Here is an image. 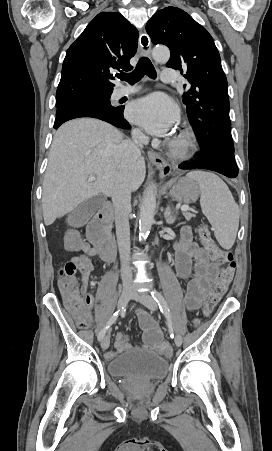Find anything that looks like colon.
Masks as SVG:
<instances>
[{"label": "colon", "mask_w": 272, "mask_h": 451, "mask_svg": "<svg viewBox=\"0 0 272 451\" xmlns=\"http://www.w3.org/2000/svg\"><path fill=\"white\" fill-rule=\"evenodd\" d=\"M199 238L203 240L204 245L209 250L210 258H217L225 261V267L218 273L217 278L206 296L205 312L210 313L223 295L226 293L234 277L236 261L234 254L227 249H218L216 243L210 237V231L202 228L199 231ZM80 237L77 230H64L62 237V249H77L79 247ZM80 267L81 271H93L94 263L87 262L85 258H76L67 260L63 266L59 267V286L61 297H65L66 303H71L72 310H87L88 303L91 302V295L87 288H78L76 280V270ZM198 322V320H195ZM88 325L87 320L78 322V327L85 328ZM158 354H173L174 347L169 342H162L157 347Z\"/></svg>", "instance_id": "colon-1"}]
</instances>
